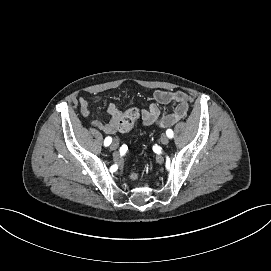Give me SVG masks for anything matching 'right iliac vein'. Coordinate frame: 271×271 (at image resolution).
<instances>
[{
    "label": "right iliac vein",
    "instance_id": "1",
    "mask_svg": "<svg viewBox=\"0 0 271 271\" xmlns=\"http://www.w3.org/2000/svg\"><path fill=\"white\" fill-rule=\"evenodd\" d=\"M119 147V142L117 140H113L112 143H111V150H117Z\"/></svg>",
    "mask_w": 271,
    "mask_h": 271
}]
</instances>
